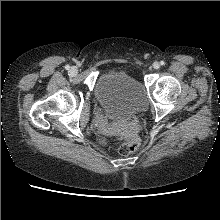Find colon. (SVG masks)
Returning <instances> with one entry per match:
<instances>
[{"label": "colon", "mask_w": 220, "mask_h": 220, "mask_svg": "<svg viewBox=\"0 0 220 220\" xmlns=\"http://www.w3.org/2000/svg\"><path fill=\"white\" fill-rule=\"evenodd\" d=\"M119 138L123 140L119 148V152L122 155H130L136 151L138 147V140L136 137L120 134Z\"/></svg>", "instance_id": "5ec220e1"}]
</instances>
